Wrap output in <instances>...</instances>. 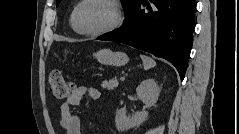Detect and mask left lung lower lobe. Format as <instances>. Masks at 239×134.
I'll return each instance as SVG.
<instances>
[{
    "label": "left lung lower lobe",
    "mask_w": 239,
    "mask_h": 134,
    "mask_svg": "<svg viewBox=\"0 0 239 134\" xmlns=\"http://www.w3.org/2000/svg\"><path fill=\"white\" fill-rule=\"evenodd\" d=\"M195 7V0H135L124 24L98 39L125 43L164 58L183 80L192 48Z\"/></svg>",
    "instance_id": "1"
}]
</instances>
